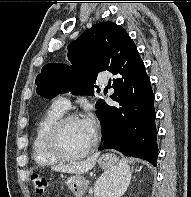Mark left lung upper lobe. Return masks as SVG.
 Here are the masks:
<instances>
[{
    "label": "left lung upper lobe",
    "mask_w": 191,
    "mask_h": 197,
    "mask_svg": "<svg viewBox=\"0 0 191 197\" xmlns=\"http://www.w3.org/2000/svg\"><path fill=\"white\" fill-rule=\"evenodd\" d=\"M72 68L65 64H47L36 78L37 93L52 99L59 93L93 94L97 74L109 71L133 72L144 63L136 45L124 28L113 22H100L68 45ZM97 101V113L103 106Z\"/></svg>",
    "instance_id": "1"
}]
</instances>
